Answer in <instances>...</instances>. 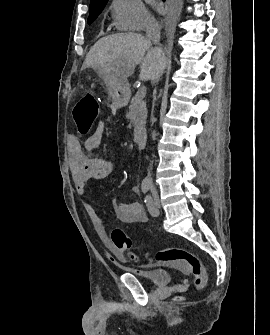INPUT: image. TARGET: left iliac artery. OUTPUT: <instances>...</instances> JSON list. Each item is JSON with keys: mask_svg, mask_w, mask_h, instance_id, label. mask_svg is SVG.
Returning a JSON list of instances; mask_svg holds the SVG:
<instances>
[{"mask_svg": "<svg viewBox=\"0 0 270 335\" xmlns=\"http://www.w3.org/2000/svg\"><path fill=\"white\" fill-rule=\"evenodd\" d=\"M145 204L147 206V209H148L149 213L151 215H153V213H154V204H153V200H152V198H151L150 195H147L145 197Z\"/></svg>", "mask_w": 270, "mask_h": 335, "instance_id": "44dca946", "label": "left iliac artery"}]
</instances>
